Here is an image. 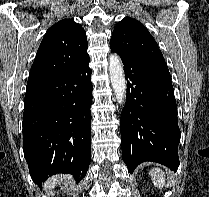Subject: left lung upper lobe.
Returning <instances> with one entry per match:
<instances>
[{"mask_svg":"<svg viewBox=\"0 0 209 197\" xmlns=\"http://www.w3.org/2000/svg\"><path fill=\"white\" fill-rule=\"evenodd\" d=\"M110 46L120 55L168 68L155 39L144 25L133 18L126 17L116 25Z\"/></svg>","mask_w":209,"mask_h":197,"instance_id":"obj_1","label":"left lung upper lobe"}]
</instances>
